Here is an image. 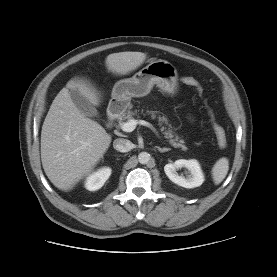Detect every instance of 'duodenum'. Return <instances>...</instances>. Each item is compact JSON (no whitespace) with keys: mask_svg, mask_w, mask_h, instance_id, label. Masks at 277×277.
I'll list each match as a JSON object with an SVG mask.
<instances>
[{"mask_svg":"<svg viewBox=\"0 0 277 277\" xmlns=\"http://www.w3.org/2000/svg\"><path fill=\"white\" fill-rule=\"evenodd\" d=\"M121 113V106L119 103H112L108 110V120L109 124H112Z\"/></svg>","mask_w":277,"mask_h":277,"instance_id":"duodenum-1","label":"duodenum"}]
</instances>
